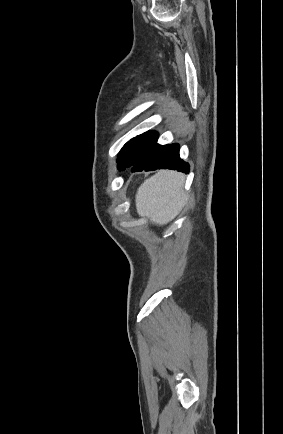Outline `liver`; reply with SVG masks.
<instances>
[{
	"instance_id": "obj_1",
	"label": "liver",
	"mask_w": 283,
	"mask_h": 434,
	"mask_svg": "<svg viewBox=\"0 0 283 434\" xmlns=\"http://www.w3.org/2000/svg\"><path fill=\"white\" fill-rule=\"evenodd\" d=\"M185 175L160 170L145 180L136 193V209L141 217L154 224L165 225L183 209L187 195L183 190Z\"/></svg>"
}]
</instances>
